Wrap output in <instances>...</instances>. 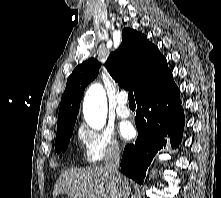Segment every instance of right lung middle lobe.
<instances>
[{"label": "right lung middle lobe", "mask_w": 221, "mask_h": 198, "mask_svg": "<svg viewBox=\"0 0 221 198\" xmlns=\"http://www.w3.org/2000/svg\"><path fill=\"white\" fill-rule=\"evenodd\" d=\"M73 128L74 126L57 132L55 139V150L57 153L64 152L67 149Z\"/></svg>", "instance_id": "1"}]
</instances>
